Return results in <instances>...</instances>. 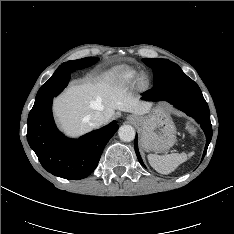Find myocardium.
<instances>
[{"mask_svg":"<svg viewBox=\"0 0 234 234\" xmlns=\"http://www.w3.org/2000/svg\"><path fill=\"white\" fill-rule=\"evenodd\" d=\"M135 85L138 89L143 90L146 89L150 83L149 76L146 72L141 71L137 73L134 79Z\"/></svg>","mask_w":234,"mask_h":234,"instance_id":"myocardium-1","label":"myocardium"}]
</instances>
